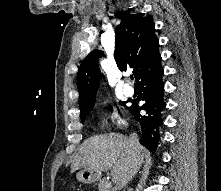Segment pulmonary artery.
Returning a JSON list of instances; mask_svg holds the SVG:
<instances>
[{
    "instance_id": "pulmonary-artery-1",
    "label": "pulmonary artery",
    "mask_w": 221,
    "mask_h": 191,
    "mask_svg": "<svg viewBox=\"0 0 221 191\" xmlns=\"http://www.w3.org/2000/svg\"><path fill=\"white\" fill-rule=\"evenodd\" d=\"M123 93L126 97H132L134 95V89L129 84H126L124 86Z\"/></svg>"
}]
</instances>
